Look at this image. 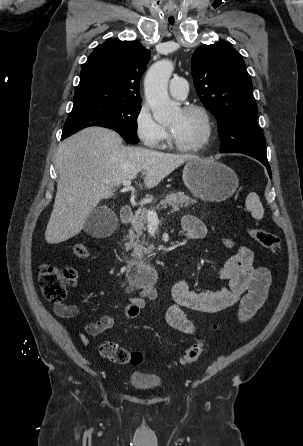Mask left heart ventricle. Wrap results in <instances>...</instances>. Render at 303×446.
Wrapping results in <instances>:
<instances>
[{"label": "left heart ventricle", "mask_w": 303, "mask_h": 446, "mask_svg": "<svg viewBox=\"0 0 303 446\" xmlns=\"http://www.w3.org/2000/svg\"><path fill=\"white\" fill-rule=\"evenodd\" d=\"M174 139L182 145H193L203 136L205 126L197 113L178 110L167 122Z\"/></svg>", "instance_id": "b2bd125f"}]
</instances>
